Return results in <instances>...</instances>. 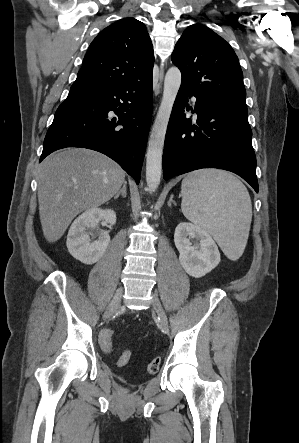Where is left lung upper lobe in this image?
Returning a JSON list of instances; mask_svg holds the SVG:
<instances>
[{"mask_svg": "<svg viewBox=\"0 0 299 443\" xmlns=\"http://www.w3.org/2000/svg\"><path fill=\"white\" fill-rule=\"evenodd\" d=\"M182 84L221 106L247 112L238 57L219 35L201 24L187 27L171 56Z\"/></svg>", "mask_w": 299, "mask_h": 443, "instance_id": "1", "label": "left lung upper lobe"}]
</instances>
